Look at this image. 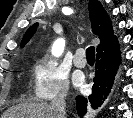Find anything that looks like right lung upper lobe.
<instances>
[{
    "instance_id": "1",
    "label": "right lung upper lobe",
    "mask_w": 133,
    "mask_h": 118,
    "mask_svg": "<svg viewBox=\"0 0 133 118\" xmlns=\"http://www.w3.org/2000/svg\"><path fill=\"white\" fill-rule=\"evenodd\" d=\"M88 7L92 31L94 34L99 36L101 41L97 46L98 50L115 40L116 36L113 35L111 21L101 3L98 0H90ZM37 26L38 23H35L26 31L20 44L21 47H23L29 41V39L36 31Z\"/></svg>"
}]
</instances>
